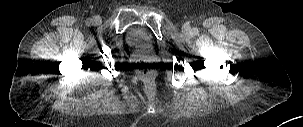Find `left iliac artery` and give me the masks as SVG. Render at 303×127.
Wrapping results in <instances>:
<instances>
[{
  "mask_svg": "<svg viewBox=\"0 0 303 127\" xmlns=\"http://www.w3.org/2000/svg\"><path fill=\"white\" fill-rule=\"evenodd\" d=\"M192 33H193L194 35H197V34L199 33V30H198L197 28H193V29H192Z\"/></svg>",
  "mask_w": 303,
  "mask_h": 127,
  "instance_id": "44dca946",
  "label": "left iliac artery"
}]
</instances>
